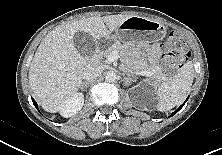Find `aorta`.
<instances>
[{"label": "aorta", "instance_id": "aorta-1", "mask_svg": "<svg viewBox=\"0 0 222 155\" xmlns=\"http://www.w3.org/2000/svg\"><path fill=\"white\" fill-rule=\"evenodd\" d=\"M105 79L107 82H115L117 80V74L114 71H108Z\"/></svg>", "mask_w": 222, "mask_h": 155}]
</instances>
